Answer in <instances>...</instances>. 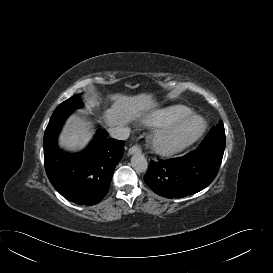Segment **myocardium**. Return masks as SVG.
Returning <instances> with one entry per match:
<instances>
[{"label": "myocardium", "instance_id": "1", "mask_svg": "<svg viewBox=\"0 0 273 273\" xmlns=\"http://www.w3.org/2000/svg\"><path fill=\"white\" fill-rule=\"evenodd\" d=\"M206 122L196 114L180 122L155 129L150 138L152 148L161 155L178 153L195 143L205 132Z\"/></svg>", "mask_w": 273, "mask_h": 273}]
</instances>
